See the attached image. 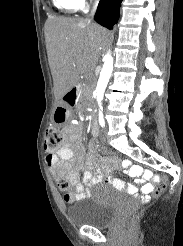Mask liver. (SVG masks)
Listing matches in <instances>:
<instances>
[{
  "label": "liver",
  "instance_id": "liver-1",
  "mask_svg": "<svg viewBox=\"0 0 183 246\" xmlns=\"http://www.w3.org/2000/svg\"><path fill=\"white\" fill-rule=\"evenodd\" d=\"M46 47L56 99L62 98L93 67L105 29L88 19L52 16L45 25Z\"/></svg>",
  "mask_w": 183,
  "mask_h": 246
}]
</instances>
